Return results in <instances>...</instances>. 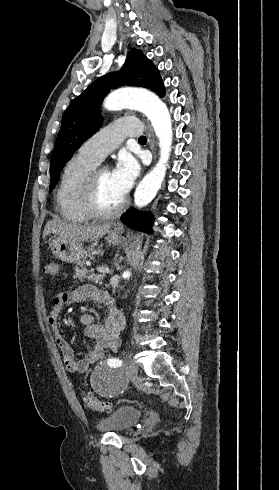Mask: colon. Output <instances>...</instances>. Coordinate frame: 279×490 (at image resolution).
I'll list each match as a JSON object with an SVG mask.
<instances>
[{
  "label": "colon",
  "mask_w": 279,
  "mask_h": 490,
  "mask_svg": "<svg viewBox=\"0 0 279 490\" xmlns=\"http://www.w3.org/2000/svg\"><path fill=\"white\" fill-rule=\"evenodd\" d=\"M43 273L46 276L58 277L60 274V262L58 260L47 262L43 267ZM82 400L89 409L97 412L108 411L111 407L106 401L98 399L89 392H84L82 394Z\"/></svg>",
  "instance_id": "1"
}]
</instances>
